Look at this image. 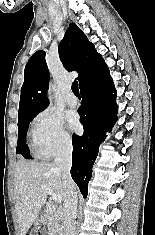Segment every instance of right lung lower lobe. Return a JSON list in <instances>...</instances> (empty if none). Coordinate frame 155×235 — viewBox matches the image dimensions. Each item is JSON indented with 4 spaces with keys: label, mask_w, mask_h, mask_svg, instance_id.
<instances>
[{
    "label": "right lung lower lobe",
    "mask_w": 155,
    "mask_h": 235,
    "mask_svg": "<svg viewBox=\"0 0 155 235\" xmlns=\"http://www.w3.org/2000/svg\"><path fill=\"white\" fill-rule=\"evenodd\" d=\"M82 97L78 109L83 125L82 136L73 134L71 176L86 198L92 167L100 144L117 121L116 90L109 71L80 88Z\"/></svg>",
    "instance_id": "98d812e1"
}]
</instances>
